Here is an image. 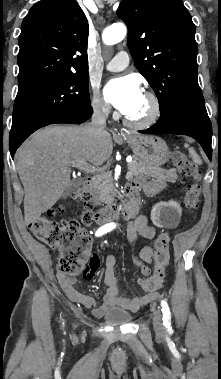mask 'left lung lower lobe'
<instances>
[{
  "label": "left lung lower lobe",
  "instance_id": "1",
  "mask_svg": "<svg viewBox=\"0 0 221 379\" xmlns=\"http://www.w3.org/2000/svg\"><path fill=\"white\" fill-rule=\"evenodd\" d=\"M139 132L190 136L200 143L208 158H212V127L206 110L180 105L168 106L161 112L159 120L152 127Z\"/></svg>",
  "mask_w": 221,
  "mask_h": 379
}]
</instances>
